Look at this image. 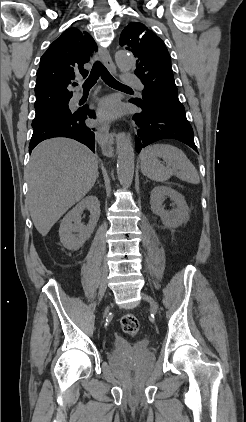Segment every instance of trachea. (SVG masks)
I'll use <instances>...</instances> for the list:
<instances>
[{"label": "trachea", "instance_id": "trachea-1", "mask_svg": "<svg viewBox=\"0 0 246 422\" xmlns=\"http://www.w3.org/2000/svg\"><path fill=\"white\" fill-rule=\"evenodd\" d=\"M99 76H101L102 80L111 87H127L126 85L118 82L101 62L96 61L91 69L89 77L83 84V89L88 90L94 86ZM74 85H77V83H74Z\"/></svg>", "mask_w": 246, "mask_h": 422}]
</instances>
